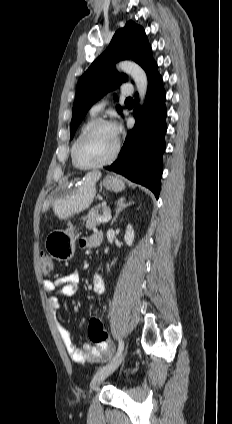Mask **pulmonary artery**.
Segmentation results:
<instances>
[{
  "instance_id": "e3ab8cb5",
  "label": "pulmonary artery",
  "mask_w": 232,
  "mask_h": 424,
  "mask_svg": "<svg viewBox=\"0 0 232 424\" xmlns=\"http://www.w3.org/2000/svg\"><path fill=\"white\" fill-rule=\"evenodd\" d=\"M121 94L123 96H130L133 94V87L130 84H123L122 88H121ZM105 107V102L104 101H100L96 104H94L91 109H90V113L97 115L99 114L103 108Z\"/></svg>"
}]
</instances>
